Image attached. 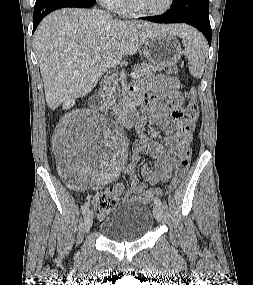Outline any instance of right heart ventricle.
I'll return each instance as SVG.
<instances>
[{
    "instance_id": "1",
    "label": "right heart ventricle",
    "mask_w": 253,
    "mask_h": 285,
    "mask_svg": "<svg viewBox=\"0 0 253 285\" xmlns=\"http://www.w3.org/2000/svg\"><path fill=\"white\" fill-rule=\"evenodd\" d=\"M119 13L122 15H127L129 13L127 6H126V2L125 0H123L122 5L120 6V8L118 9Z\"/></svg>"
}]
</instances>
